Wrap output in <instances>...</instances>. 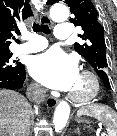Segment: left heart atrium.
Instances as JSON below:
<instances>
[{
    "instance_id": "1",
    "label": "left heart atrium",
    "mask_w": 117,
    "mask_h": 136,
    "mask_svg": "<svg viewBox=\"0 0 117 136\" xmlns=\"http://www.w3.org/2000/svg\"><path fill=\"white\" fill-rule=\"evenodd\" d=\"M29 71L43 86L61 91H71L79 76L76 59L59 48L34 56Z\"/></svg>"
}]
</instances>
